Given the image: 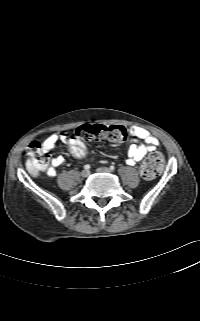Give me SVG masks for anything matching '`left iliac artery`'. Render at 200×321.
<instances>
[{
    "instance_id": "44dca946",
    "label": "left iliac artery",
    "mask_w": 200,
    "mask_h": 321,
    "mask_svg": "<svg viewBox=\"0 0 200 321\" xmlns=\"http://www.w3.org/2000/svg\"><path fill=\"white\" fill-rule=\"evenodd\" d=\"M110 170H111V171H114V170H115V167H114V166H110Z\"/></svg>"
}]
</instances>
